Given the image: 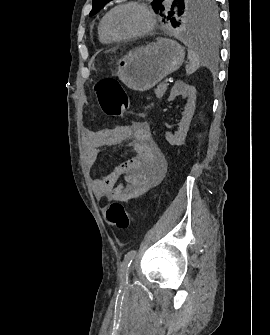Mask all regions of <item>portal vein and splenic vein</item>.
Wrapping results in <instances>:
<instances>
[{"label": "portal vein and splenic vein", "mask_w": 270, "mask_h": 335, "mask_svg": "<svg viewBox=\"0 0 270 335\" xmlns=\"http://www.w3.org/2000/svg\"><path fill=\"white\" fill-rule=\"evenodd\" d=\"M168 81H169V80L166 78V79L164 80V84H167Z\"/></svg>", "instance_id": "portal-vein-and-splenic-vein-1"}]
</instances>
